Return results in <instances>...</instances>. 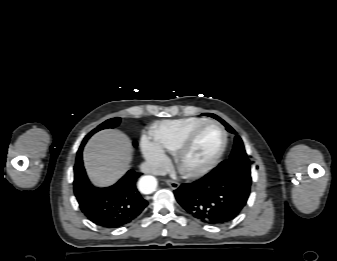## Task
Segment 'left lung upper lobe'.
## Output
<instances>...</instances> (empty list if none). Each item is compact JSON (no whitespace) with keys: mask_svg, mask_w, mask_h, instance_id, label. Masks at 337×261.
Segmentation results:
<instances>
[{"mask_svg":"<svg viewBox=\"0 0 337 261\" xmlns=\"http://www.w3.org/2000/svg\"><path fill=\"white\" fill-rule=\"evenodd\" d=\"M210 116L218 119L226 126V128L230 132L235 133V131L222 119L213 114H211ZM213 170L227 172L232 176H234L235 178H237L238 180H240L241 182H243L249 188L251 187L252 179L250 171V160L249 156L246 154V151L244 149L243 142L238 135L235 137L234 147L230 155V158L221 162Z\"/></svg>","mask_w":337,"mask_h":261,"instance_id":"left-lung-upper-lobe-1","label":"left lung upper lobe"}]
</instances>
